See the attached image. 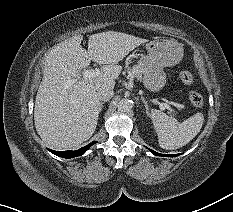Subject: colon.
<instances>
[{
  "label": "colon",
  "instance_id": "colon-1",
  "mask_svg": "<svg viewBox=\"0 0 233 212\" xmlns=\"http://www.w3.org/2000/svg\"><path fill=\"white\" fill-rule=\"evenodd\" d=\"M180 80L186 85H192L194 82L193 75L188 71H182L179 74ZM189 100L195 108H201L203 106V97L195 91L189 93Z\"/></svg>",
  "mask_w": 233,
  "mask_h": 212
}]
</instances>
